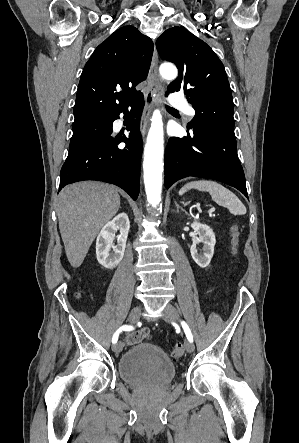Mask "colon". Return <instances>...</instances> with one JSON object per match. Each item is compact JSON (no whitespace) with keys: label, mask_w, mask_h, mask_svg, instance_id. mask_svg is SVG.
Returning <instances> with one entry per match:
<instances>
[{"label":"colon","mask_w":299,"mask_h":443,"mask_svg":"<svg viewBox=\"0 0 299 443\" xmlns=\"http://www.w3.org/2000/svg\"><path fill=\"white\" fill-rule=\"evenodd\" d=\"M238 240H239V230L237 226H232L231 228V245H232V253L236 254L238 250ZM184 354V346L181 343H177L173 350L172 355L174 358H180Z\"/></svg>","instance_id":"obj_1"}]
</instances>
